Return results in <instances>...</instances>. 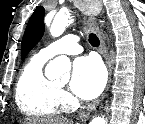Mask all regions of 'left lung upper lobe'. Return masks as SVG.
<instances>
[{"label": "left lung upper lobe", "mask_w": 145, "mask_h": 124, "mask_svg": "<svg viewBox=\"0 0 145 124\" xmlns=\"http://www.w3.org/2000/svg\"><path fill=\"white\" fill-rule=\"evenodd\" d=\"M44 15V8L42 6H37V9L30 17L21 43L22 58L39 42L43 36Z\"/></svg>", "instance_id": "obj_1"}]
</instances>
